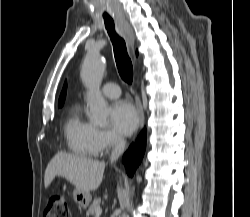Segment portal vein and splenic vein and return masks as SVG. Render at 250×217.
Listing matches in <instances>:
<instances>
[{
  "instance_id": "portal-vein-and-splenic-vein-1",
  "label": "portal vein and splenic vein",
  "mask_w": 250,
  "mask_h": 217,
  "mask_svg": "<svg viewBox=\"0 0 250 217\" xmlns=\"http://www.w3.org/2000/svg\"><path fill=\"white\" fill-rule=\"evenodd\" d=\"M101 213H102V209L100 207H98L96 209V217H99L101 215Z\"/></svg>"
}]
</instances>
